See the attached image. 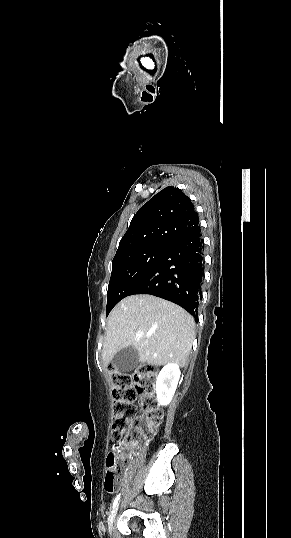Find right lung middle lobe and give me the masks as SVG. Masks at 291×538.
Returning a JSON list of instances; mask_svg holds the SVG:
<instances>
[{
    "label": "right lung middle lobe",
    "mask_w": 291,
    "mask_h": 538,
    "mask_svg": "<svg viewBox=\"0 0 291 538\" xmlns=\"http://www.w3.org/2000/svg\"><path fill=\"white\" fill-rule=\"evenodd\" d=\"M170 246L148 245L114 257L107 292L106 315L146 277Z\"/></svg>",
    "instance_id": "1"
}]
</instances>
